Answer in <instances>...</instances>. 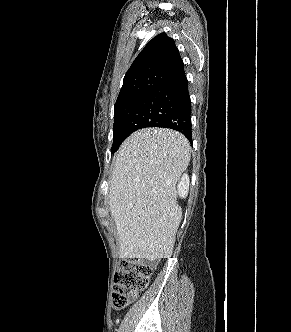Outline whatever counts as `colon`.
I'll use <instances>...</instances> for the list:
<instances>
[{
    "label": "colon",
    "instance_id": "5ec220e1",
    "mask_svg": "<svg viewBox=\"0 0 291 332\" xmlns=\"http://www.w3.org/2000/svg\"><path fill=\"white\" fill-rule=\"evenodd\" d=\"M153 267L137 259H124L115 274L112 303L114 308H125L141 291L152 275Z\"/></svg>",
    "mask_w": 291,
    "mask_h": 332
}]
</instances>
